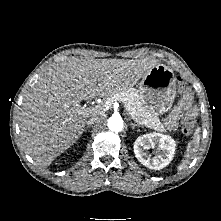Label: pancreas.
<instances>
[{
	"label": "pancreas",
	"instance_id": "1",
	"mask_svg": "<svg viewBox=\"0 0 221 221\" xmlns=\"http://www.w3.org/2000/svg\"><path fill=\"white\" fill-rule=\"evenodd\" d=\"M113 101L122 102L126 112L133 120L140 123L141 125H145L148 128L160 132L166 131L159 118L156 115L148 112L141 104L139 94L135 89L130 88L112 94L103 104L108 105Z\"/></svg>",
	"mask_w": 221,
	"mask_h": 221
}]
</instances>
